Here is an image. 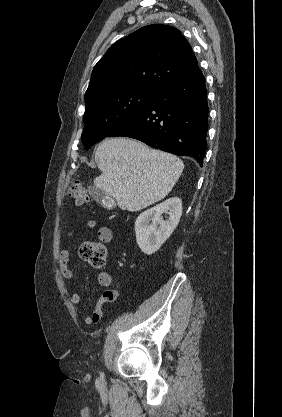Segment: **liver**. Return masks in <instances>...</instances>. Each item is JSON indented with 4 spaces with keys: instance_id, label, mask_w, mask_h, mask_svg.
<instances>
[{
    "instance_id": "obj_1",
    "label": "liver",
    "mask_w": 282,
    "mask_h": 417,
    "mask_svg": "<svg viewBox=\"0 0 282 417\" xmlns=\"http://www.w3.org/2000/svg\"><path fill=\"white\" fill-rule=\"evenodd\" d=\"M95 162L102 170L94 178L95 186L114 196L119 209L132 213L162 200L184 168L175 154L153 150L128 136L102 140Z\"/></svg>"
}]
</instances>
